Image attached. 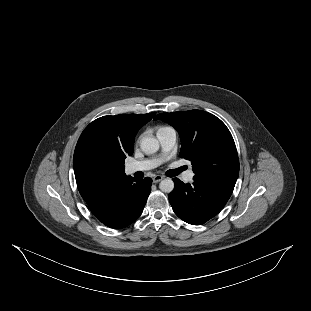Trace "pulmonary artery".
Listing matches in <instances>:
<instances>
[{
    "mask_svg": "<svg viewBox=\"0 0 311 311\" xmlns=\"http://www.w3.org/2000/svg\"><path fill=\"white\" fill-rule=\"evenodd\" d=\"M156 134L161 146L160 158L131 162L126 165L127 173L132 174L136 172H144L151 170L157 167L162 160H164L171 154L177 142L176 131L171 127H166L157 130ZM193 178H194V171L192 169L186 171L183 175V181L186 183L192 182Z\"/></svg>",
    "mask_w": 311,
    "mask_h": 311,
    "instance_id": "e3ab8cb5",
    "label": "pulmonary artery"
}]
</instances>
